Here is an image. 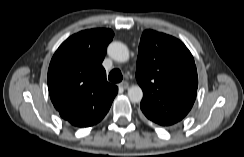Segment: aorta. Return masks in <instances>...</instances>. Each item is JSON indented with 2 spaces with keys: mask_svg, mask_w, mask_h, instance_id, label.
<instances>
[{
  "mask_svg": "<svg viewBox=\"0 0 244 157\" xmlns=\"http://www.w3.org/2000/svg\"><path fill=\"white\" fill-rule=\"evenodd\" d=\"M108 55L117 62H127L129 60V50L121 42H112L108 46ZM128 97L132 102H140L143 97V91L140 86L134 85L128 89Z\"/></svg>",
  "mask_w": 244,
  "mask_h": 157,
  "instance_id": "1",
  "label": "aorta"
}]
</instances>
